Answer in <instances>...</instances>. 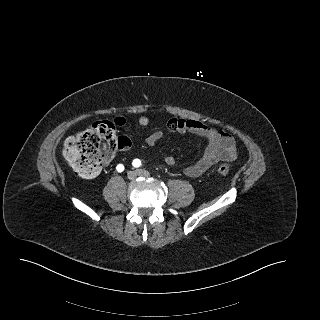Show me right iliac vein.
Here are the masks:
<instances>
[{"instance_id": "1", "label": "right iliac vein", "mask_w": 320, "mask_h": 320, "mask_svg": "<svg viewBox=\"0 0 320 320\" xmlns=\"http://www.w3.org/2000/svg\"><path fill=\"white\" fill-rule=\"evenodd\" d=\"M127 177L129 180H135V178L137 177V173L135 171H129L127 173Z\"/></svg>"}]
</instances>
